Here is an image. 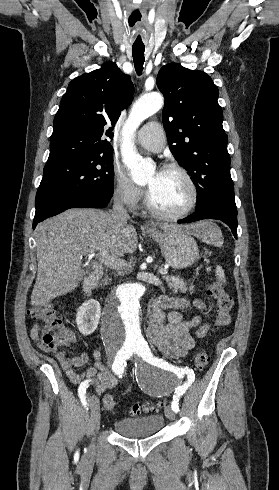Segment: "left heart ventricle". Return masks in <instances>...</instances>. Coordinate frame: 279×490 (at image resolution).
Wrapping results in <instances>:
<instances>
[{
  "mask_svg": "<svg viewBox=\"0 0 279 490\" xmlns=\"http://www.w3.org/2000/svg\"><path fill=\"white\" fill-rule=\"evenodd\" d=\"M154 175L148 178L149 184ZM150 197L159 209L176 212L188 202L190 191L181 175L173 171L162 170L158 183L151 189Z\"/></svg>",
  "mask_w": 279,
  "mask_h": 490,
  "instance_id": "obj_1",
  "label": "left heart ventricle"
}]
</instances>
